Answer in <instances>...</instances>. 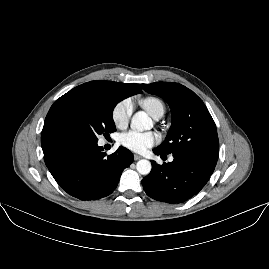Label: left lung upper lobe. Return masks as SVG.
I'll use <instances>...</instances> for the list:
<instances>
[{
	"instance_id": "obj_1",
	"label": "left lung upper lobe",
	"mask_w": 269,
	"mask_h": 269,
	"mask_svg": "<svg viewBox=\"0 0 269 269\" xmlns=\"http://www.w3.org/2000/svg\"><path fill=\"white\" fill-rule=\"evenodd\" d=\"M141 86L148 93L163 98L171 108V128L157 148L166 154L216 164L219 152L217 129L203 101L179 83L156 82Z\"/></svg>"
}]
</instances>
